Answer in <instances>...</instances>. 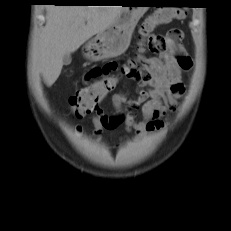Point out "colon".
Wrapping results in <instances>:
<instances>
[{"label": "colon", "mask_w": 231, "mask_h": 231, "mask_svg": "<svg viewBox=\"0 0 231 231\" xmlns=\"http://www.w3.org/2000/svg\"><path fill=\"white\" fill-rule=\"evenodd\" d=\"M183 17L184 12L178 8H161L154 11L141 24L138 52L143 53L150 50L159 53L164 51L166 49L165 40L162 36L155 35L154 30L159 25L179 20ZM118 73L129 78H141L140 67L135 59L124 63ZM116 84L117 77L111 75L99 78L79 89L69 100L72 112L79 118L95 112L99 109L100 102L116 87Z\"/></svg>", "instance_id": "5ec220e1"}]
</instances>
